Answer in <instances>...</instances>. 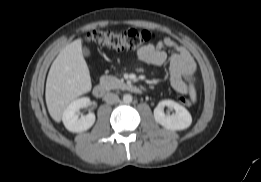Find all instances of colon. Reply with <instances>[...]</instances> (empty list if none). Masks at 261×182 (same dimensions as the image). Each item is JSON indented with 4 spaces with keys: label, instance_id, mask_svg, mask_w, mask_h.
<instances>
[{
    "label": "colon",
    "instance_id": "colon-1",
    "mask_svg": "<svg viewBox=\"0 0 261 182\" xmlns=\"http://www.w3.org/2000/svg\"><path fill=\"white\" fill-rule=\"evenodd\" d=\"M156 37V34L148 30L127 29L124 31L91 30L85 35V41L91 45L105 46L118 50H136L144 47ZM185 104L190 100L180 98Z\"/></svg>",
    "mask_w": 261,
    "mask_h": 182
}]
</instances>
